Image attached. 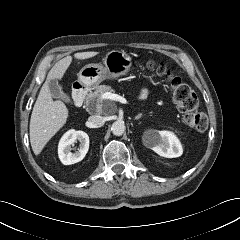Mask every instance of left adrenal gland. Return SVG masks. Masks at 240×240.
Wrapping results in <instances>:
<instances>
[{
    "mask_svg": "<svg viewBox=\"0 0 240 240\" xmlns=\"http://www.w3.org/2000/svg\"><path fill=\"white\" fill-rule=\"evenodd\" d=\"M141 117H142V114L140 113L135 117V120H139Z\"/></svg>",
    "mask_w": 240,
    "mask_h": 240,
    "instance_id": "a2214340",
    "label": "left adrenal gland"
}]
</instances>
